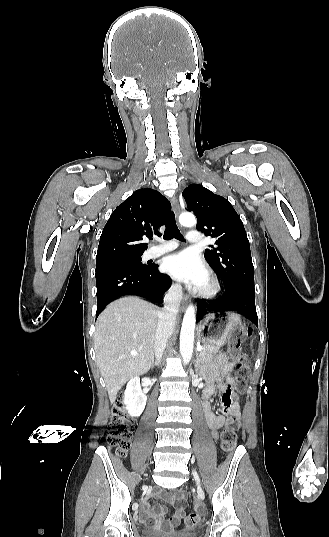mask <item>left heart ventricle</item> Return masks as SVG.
I'll list each match as a JSON object with an SVG mask.
<instances>
[{"instance_id": "b2bd125f", "label": "left heart ventricle", "mask_w": 329, "mask_h": 537, "mask_svg": "<svg viewBox=\"0 0 329 537\" xmlns=\"http://www.w3.org/2000/svg\"><path fill=\"white\" fill-rule=\"evenodd\" d=\"M207 285V278L204 280L203 284L201 286H206Z\"/></svg>"}]
</instances>
